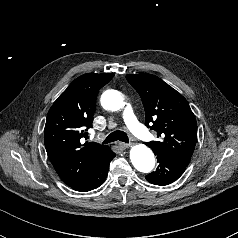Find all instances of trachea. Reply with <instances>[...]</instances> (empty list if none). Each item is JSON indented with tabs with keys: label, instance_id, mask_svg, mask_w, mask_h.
<instances>
[{
	"label": "trachea",
	"instance_id": "trachea-1",
	"mask_svg": "<svg viewBox=\"0 0 238 238\" xmlns=\"http://www.w3.org/2000/svg\"><path fill=\"white\" fill-rule=\"evenodd\" d=\"M117 140L125 142V143H128V141H129L128 136L125 132L116 130V131L112 132L111 134H109L103 143L104 144L111 143V142H114Z\"/></svg>",
	"mask_w": 238,
	"mask_h": 238
}]
</instances>
